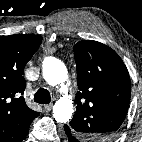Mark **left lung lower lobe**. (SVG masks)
<instances>
[{
    "label": "left lung lower lobe",
    "instance_id": "1",
    "mask_svg": "<svg viewBox=\"0 0 142 142\" xmlns=\"http://www.w3.org/2000/svg\"><path fill=\"white\" fill-rule=\"evenodd\" d=\"M64 131L66 134V139L69 142H81V140L72 132V130L67 126L64 125Z\"/></svg>",
    "mask_w": 142,
    "mask_h": 142
}]
</instances>
